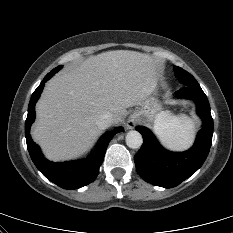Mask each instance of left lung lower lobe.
<instances>
[{
  "label": "left lung lower lobe",
  "mask_w": 233,
  "mask_h": 233,
  "mask_svg": "<svg viewBox=\"0 0 233 233\" xmlns=\"http://www.w3.org/2000/svg\"><path fill=\"white\" fill-rule=\"evenodd\" d=\"M176 97L192 99L197 114L203 120L202 129L191 149L170 152L159 144L149 129L136 127L144 140L134 157L136 170L148 183L164 188L175 187L194 174L204 163L212 143L213 120L208 99L201 87L185 86L176 92Z\"/></svg>",
  "instance_id": "0a47b994"
}]
</instances>
